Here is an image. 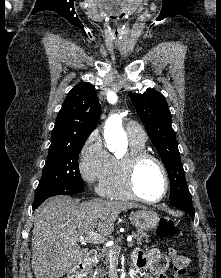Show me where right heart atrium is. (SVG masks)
Masks as SVG:
<instances>
[{
	"mask_svg": "<svg viewBox=\"0 0 221 278\" xmlns=\"http://www.w3.org/2000/svg\"><path fill=\"white\" fill-rule=\"evenodd\" d=\"M112 165V156L95 130L84 141L78 155V171L88 184L100 183Z\"/></svg>",
	"mask_w": 221,
	"mask_h": 278,
	"instance_id": "d8ad5b80",
	"label": "right heart atrium"
}]
</instances>
